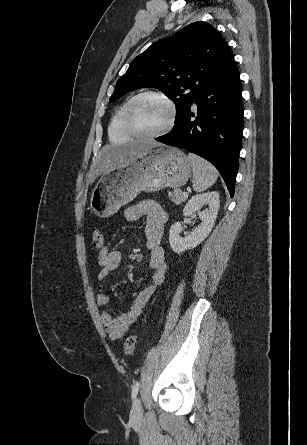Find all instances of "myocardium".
<instances>
[{
	"instance_id": "myocardium-1",
	"label": "myocardium",
	"mask_w": 307,
	"mask_h": 445,
	"mask_svg": "<svg viewBox=\"0 0 307 445\" xmlns=\"http://www.w3.org/2000/svg\"><path fill=\"white\" fill-rule=\"evenodd\" d=\"M146 98H157L164 102L169 109V119L165 126L157 132H144L142 131L135 122V110L137 105ZM177 119V109L174 102L169 96L162 92L157 91H145L132 99L129 103L126 112V123L129 132L135 136L137 139H161L163 136L168 134L175 125Z\"/></svg>"
}]
</instances>
